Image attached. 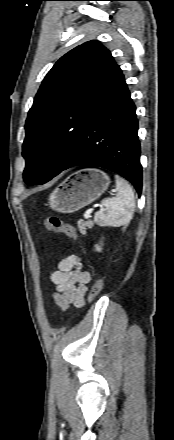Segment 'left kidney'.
Returning a JSON list of instances; mask_svg holds the SVG:
<instances>
[{
  "instance_id": "1",
  "label": "left kidney",
  "mask_w": 174,
  "mask_h": 440,
  "mask_svg": "<svg viewBox=\"0 0 174 440\" xmlns=\"http://www.w3.org/2000/svg\"><path fill=\"white\" fill-rule=\"evenodd\" d=\"M96 249H97L98 251H101V248H100L99 246H96Z\"/></svg>"
}]
</instances>
